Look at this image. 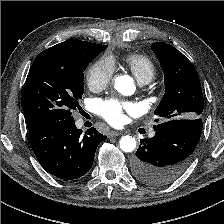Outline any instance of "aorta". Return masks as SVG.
<instances>
[{
    "label": "aorta",
    "instance_id": "obj_1",
    "mask_svg": "<svg viewBox=\"0 0 224 224\" xmlns=\"http://www.w3.org/2000/svg\"><path fill=\"white\" fill-rule=\"evenodd\" d=\"M114 87L123 95H131L135 91L133 80L128 75L116 77ZM119 144L122 151L132 152L136 147V140L132 136L125 135L120 139Z\"/></svg>",
    "mask_w": 224,
    "mask_h": 224
}]
</instances>
